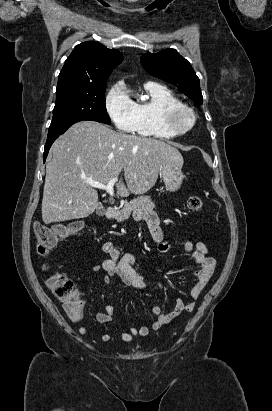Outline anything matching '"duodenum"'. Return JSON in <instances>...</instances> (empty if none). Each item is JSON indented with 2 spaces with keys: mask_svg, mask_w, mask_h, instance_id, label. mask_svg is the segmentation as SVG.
Here are the masks:
<instances>
[{
  "mask_svg": "<svg viewBox=\"0 0 272 411\" xmlns=\"http://www.w3.org/2000/svg\"><path fill=\"white\" fill-rule=\"evenodd\" d=\"M117 212H118V209L116 207H108L105 210L104 215H105V217H107L109 219H112V218H114V216L116 215Z\"/></svg>",
  "mask_w": 272,
  "mask_h": 411,
  "instance_id": "obj_1",
  "label": "duodenum"
}]
</instances>
